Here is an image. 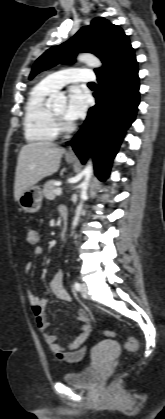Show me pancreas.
Listing matches in <instances>:
<instances>
[{
  "label": "pancreas",
  "mask_w": 165,
  "mask_h": 419,
  "mask_svg": "<svg viewBox=\"0 0 165 419\" xmlns=\"http://www.w3.org/2000/svg\"><path fill=\"white\" fill-rule=\"evenodd\" d=\"M56 186H55V180H48L43 187V195L45 196V198H47L48 200H53L55 198V190H56Z\"/></svg>",
  "instance_id": "cf45deb5"
}]
</instances>
